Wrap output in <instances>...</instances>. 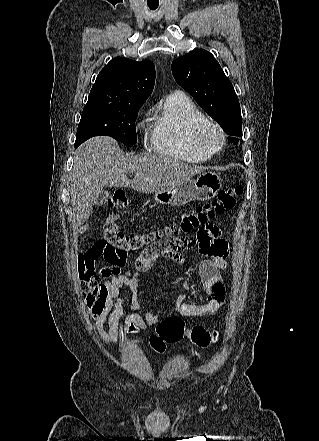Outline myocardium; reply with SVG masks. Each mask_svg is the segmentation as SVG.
<instances>
[{
    "instance_id": "myocardium-1",
    "label": "myocardium",
    "mask_w": 319,
    "mask_h": 441,
    "mask_svg": "<svg viewBox=\"0 0 319 441\" xmlns=\"http://www.w3.org/2000/svg\"><path fill=\"white\" fill-rule=\"evenodd\" d=\"M195 142L200 148L216 153L224 146L226 134L218 123L207 120L196 129Z\"/></svg>"
}]
</instances>
